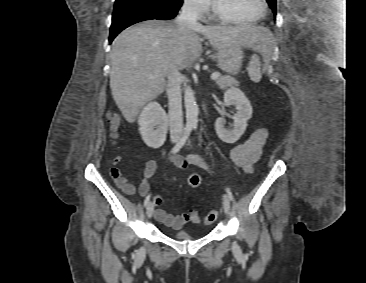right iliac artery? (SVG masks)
I'll return each instance as SVG.
<instances>
[{
  "label": "right iliac artery",
  "instance_id": "right-iliac-artery-1",
  "mask_svg": "<svg viewBox=\"0 0 366 283\" xmlns=\"http://www.w3.org/2000/svg\"><path fill=\"white\" fill-rule=\"evenodd\" d=\"M191 131H192V126H186L185 127L182 138L180 139V141L172 149L173 154L177 153L184 146V144L186 143ZM149 201H150V195H148L146 197V199L144 201V206L148 205Z\"/></svg>",
  "mask_w": 366,
  "mask_h": 283
}]
</instances>
